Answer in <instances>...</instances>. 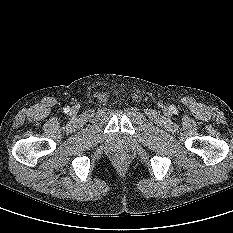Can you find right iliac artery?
Returning <instances> with one entry per match:
<instances>
[{"instance_id":"right-iliac-artery-1","label":"right iliac artery","mask_w":233,"mask_h":233,"mask_svg":"<svg viewBox=\"0 0 233 233\" xmlns=\"http://www.w3.org/2000/svg\"><path fill=\"white\" fill-rule=\"evenodd\" d=\"M69 111H70V108L68 106L64 108L65 113H68Z\"/></svg>"}]
</instances>
